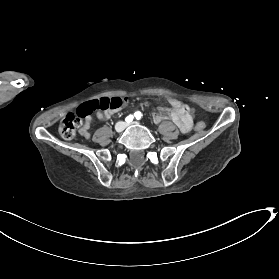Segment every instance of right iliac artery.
I'll return each instance as SVG.
<instances>
[{"label": "right iliac artery", "instance_id": "right-iliac-artery-1", "mask_svg": "<svg viewBox=\"0 0 279 279\" xmlns=\"http://www.w3.org/2000/svg\"><path fill=\"white\" fill-rule=\"evenodd\" d=\"M133 118H134L133 115H128V116L125 118V121H126L127 123H130V122L133 121Z\"/></svg>", "mask_w": 279, "mask_h": 279}]
</instances>
